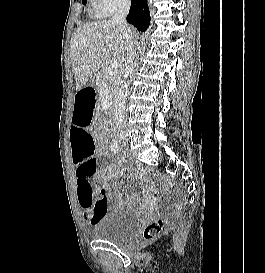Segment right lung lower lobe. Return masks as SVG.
I'll list each match as a JSON object with an SVG mask.
<instances>
[{"instance_id":"1","label":"right lung lower lobe","mask_w":265,"mask_h":273,"mask_svg":"<svg viewBox=\"0 0 265 273\" xmlns=\"http://www.w3.org/2000/svg\"><path fill=\"white\" fill-rule=\"evenodd\" d=\"M149 20L147 0H132L127 22L133 24L139 31H145Z\"/></svg>"}]
</instances>
